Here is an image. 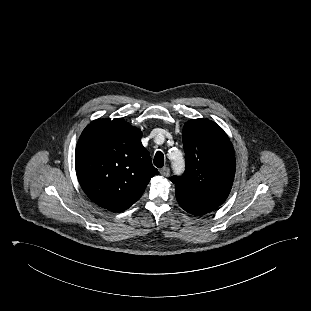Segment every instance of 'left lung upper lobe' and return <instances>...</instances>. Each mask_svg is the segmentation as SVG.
<instances>
[{"label": "left lung upper lobe", "instance_id": "obj_1", "mask_svg": "<svg viewBox=\"0 0 311 311\" xmlns=\"http://www.w3.org/2000/svg\"><path fill=\"white\" fill-rule=\"evenodd\" d=\"M186 170L171 181L175 190L221 205L228 197L236 170L230 139L215 122L192 119L182 132Z\"/></svg>", "mask_w": 311, "mask_h": 311}]
</instances>
